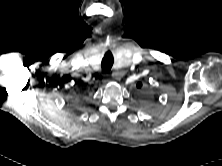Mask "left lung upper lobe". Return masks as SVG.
I'll list each match as a JSON object with an SVG mask.
<instances>
[{
	"mask_svg": "<svg viewBox=\"0 0 222 166\" xmlns=\"http://www.w3.org/2000/svg\"><path fill=\"white\" fill-rule=\"evenodd\" d=\"M137 86H138V87H140V86H141V84L139 83Z\"/></svg>",
	"mask_w": 222,
	"mask_h": 166,
	"instance_id": "5c2ea615",
	"label": "left lung upper lobe"
}]
</instances>
